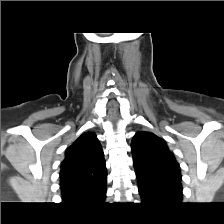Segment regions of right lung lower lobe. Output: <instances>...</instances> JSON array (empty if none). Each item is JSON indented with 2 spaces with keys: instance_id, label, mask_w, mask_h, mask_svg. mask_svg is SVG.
Instances as JSON below:
<instances>
[{
  "instance_id": "98d812e1",
  "label": "right lung lower lobe",
  "mask_w": 224,
  "mask_h": 224,
  "mask_svg": "<svg viewBox=\"0 0 224 224\" xmlns=\"http://www.w3.org/2000/svg\"><path fill=\"white\" fill-rule=\"evenodd\" d=\"M105 195H106V190L102 194L97 196L94 200L97 201V202H100L105 198Z\"/></svg>"
}]
</instances>
